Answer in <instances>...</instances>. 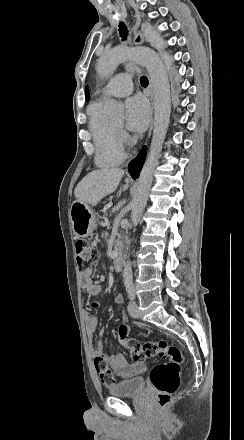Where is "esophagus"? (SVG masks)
Returning a JSON list of instances; mask_svg holds the SVG:
<instances>
[{"mask_svg": "<svg viewBox=\"0 0 244 440\" xmlns=\"http://www.w3.org/2000/svg\"><path fill=\"white\" fill-rule=\"evenodd\" d=\"M144 42V37L143 34L140 31H137L134 35L133 38V43L134 45H141ZM149 99H150V118H151V123H150V128H149V132H148V138L150 137L151 133H152V128H153V109H154V101H153V95L152 93H150L149 95Z\"/></svg>", "mask_w": 244, "mask_h": 440, "instance_id": "obj_1", "label": "esophagus"}]
</instances>
